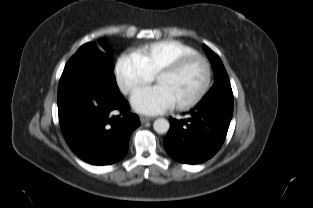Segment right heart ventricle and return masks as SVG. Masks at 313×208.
I'll list each match as a JSON object with an SVG mask.
<instances>
[{
	"label": "right heart ventricle",
	"instance_id": "right-heart-ventricle-1",
	"mask_svg": "<svg viewBox=\"0 0 313 208\" xmlns=\"http://www.w3.org/2000/svg\"><path fill=\"white\" fill-rule=\"evenodd\" d=\"M191 46L178 40H161L146 44L135 51L148 71L155 75L157 71L177 58L196 54Z\"/></svg>",
	"mask_w": 313,
	"mask_h": 208
}]
</instances>
